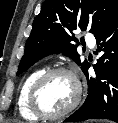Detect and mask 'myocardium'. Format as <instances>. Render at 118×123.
Instances as JSON below:
<instances>
[{
  "label": "myocardium",
  "instance_id": "1",
  "mask_svg": "<svg viewBox=\"0 0 118 123\" xmlns=\"http://www.w3.org/2000/svg\"><path fill=\"white\" fill-rule=\"evenodd\" d=\"M66 74L68 75L75 84V96L73 101L64 110L58 113H50L45 111L39 102V94L44 83L55 74ZM82 98V84L77 73L68 67H53L45 70L34 82L29 93V107L31 111L42 119L56 120L65 117L72 112L80 103Z\"/></svg>",
  "mask_w": 118,
  "mask_h": 123
}]
</instances>
